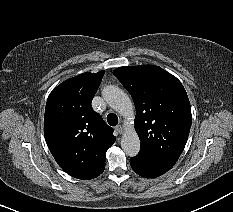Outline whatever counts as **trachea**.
<instances>
[{
	"mask_svg": "<svg viewBox=\"0 0 233 212\" xmlns=\"http://www.w3.org/2000/svg\"><path fill=\"white\" fill-rule=\"evenodd\" d=\"M107 122L110 126H116L118 124V117L114 113H110L107 116Z\"/></svg>",
	"mask_w": 233,
	"mask_h": 212,
	"instance_id": "obj_1",
	"label": "trachea"
}]
</instances>
